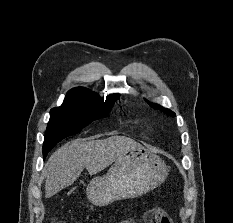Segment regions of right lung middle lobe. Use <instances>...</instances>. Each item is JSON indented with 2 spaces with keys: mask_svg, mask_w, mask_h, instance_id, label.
<instances>
[{
  "mask_svg": "<svg viewBox=\"0 0 233 223\" xmlns=\"http://www.w3.org/2000/svg\"><path fill=\"white\" fill-rule=\"evenodd\" d=\"M113 105L63 103L50 111L43 152L50 151L65 137L77 134L92 121L105 117Z\"/></svg>",
  "mask_w": 233,
  "mask_h": 223,
  "instance_id": "right-lung-middle-lobe-1",
  "label": "right lung middle lobe"
}]
</instances>
